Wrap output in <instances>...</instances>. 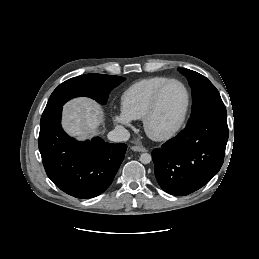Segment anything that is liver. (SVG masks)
Listing matches in <instances>:
<instances>
[{"label": "liver", "mask_w": 259, "mask_h": 259, "mask_svg": "<svg viewBox=\"0 0 259 259\" xmlns=\"http://www.w3.org/2000/svg\"><path fill=\"white\" fill-rule=\"evenodd\" d=\"M103 122V111L95 101L76 98L64 105L62 125L64 130L79 140L89 139L98 133Z\"/></svg>", "instance_id": "1"}]
</instances>
